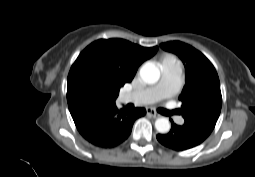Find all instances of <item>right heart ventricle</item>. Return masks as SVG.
I'll return each instance as SVG.
<instances>
[{
	"instance_id": "obj_1",
	"label": "right heart ventricle",
	"mask_w": 255,
	"mask_h": 177,
	"mask_svg": "<svg viewBox=\"0 0 255 177\" xmlns=\"http://www.w3.org/2000/svg\"><path fill=\"white\" fill-rule=\"evenodd\" d=\"M161 68L164 69H181L180 61L172 54L165 55L161 60Z\"/></svg>"
}]
</instances>
